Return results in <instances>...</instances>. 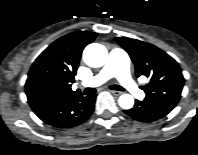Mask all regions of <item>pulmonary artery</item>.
Wrapping results in <instances>:
<instances>
[{"label":"pulmonary artery","mask_w":198,"mask_h":155,"mask_svg":"<svg viewBox=\"0 0 198 155\" xmlns=\"http://www.w3.org/2000/svg\"><path fill=\"white\" fill-rule=\"evenodd\" d=\"M111 78L118 81L138 99H143L145 94L132 79L129 71V57L120 49H113L108 57L106 65L101 71L88 80L82 82L83 86L94 87L101 85Z\"/></svg>","instance_id":"pulmonary-artery-1"}]
</instances>
